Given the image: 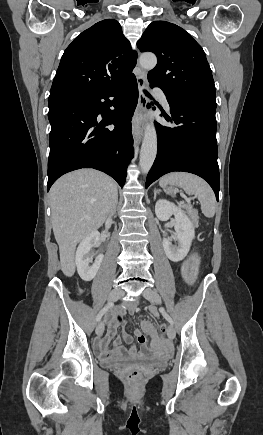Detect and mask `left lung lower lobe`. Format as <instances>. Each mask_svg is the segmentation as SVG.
<instances>
[{
	"label": "left lung lower lobe",
	"mask_w": 263,
	"mask_h": 435,
	"mask_svg": "<svg viewBox=\"0 0 263 435\" xmlns=\"http://www.w3.org/2000/svg\"><path fill=\"white\" fill-rule=\"evenodd\" d=\"M167 100L173 122L177 126L171 128L155 124L158 152L147 176L146 188L166 173L190 172L209 183L218 201L219 167L215 109L177 102L168 97Z\"/></svg>",
	"instance_id": "1"
}]
</instances>
